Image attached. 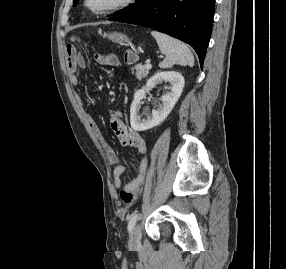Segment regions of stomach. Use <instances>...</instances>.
Segmentation results:
<instances>
[{
    "instance_id": "obj_1",
    "label": "stomach",
    "mask_w": 286,
    "mask_h": 269,
    "mask_svg": "<svg viewBox=\"0 0 286 269\" xmlns=\"http://www.w3.org/2000/svg\"><path fill=\"white\" fill-rule=\"evenodd\" d=\"M108 39L116 43L128 41V37L126 35L116 32L109 34Z\"/></svg>"
}]
</instances>
